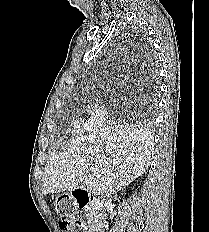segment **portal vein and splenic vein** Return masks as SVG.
<instances>
[{
  "label": "portal vein and splenic vein",
  "mask_w": 209,
  "mask_h": 232,
  "mask_svg": "<svg viewBox=\"0 0 209 232\" xmlns=\"http://www.w3.org/2000/svg\"><path fill=\"white\" fill-rule=\"evenodd\" d=\"M91 171H92V172H95V171H96V169H95L94 167H92V168H91Z\"/></svg>",
  "instance_id": "portal-vein-and-splenic-vein-1"
}]
</instances>
